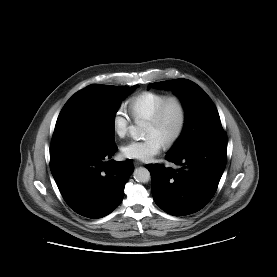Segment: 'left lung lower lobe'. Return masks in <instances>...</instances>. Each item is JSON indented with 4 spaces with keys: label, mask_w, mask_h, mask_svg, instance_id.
<instances>
[{
    "label": "left lung lower lobe",
    "mask_w": 277,
    "mask_h": 277,
    "mask_svg": "<svg viewBox=\"0 0 277 277\" xmlns=\"http://www.w3.org/2000/svg\"><path fill=\"white\" fill-rule=\"evenodd\" d=\"M227 137L223 132L200 137L183 153L166 159L182 167L147 164L155 203L173 216L202 209L214 196L226 166Z\"/></svg>",
    "instance_id": "left-lung-lower-lobe-1"
}]
</instances>
